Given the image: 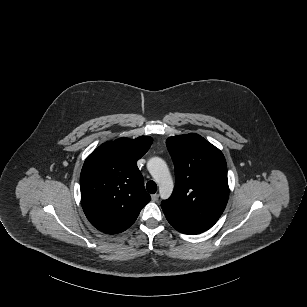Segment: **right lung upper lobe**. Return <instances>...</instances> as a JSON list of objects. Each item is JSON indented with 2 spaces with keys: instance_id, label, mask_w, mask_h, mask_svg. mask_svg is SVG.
Segmentation results:
<instances>
[{
  "instance_id": "right-lung-upper-lobe-1",
  "label": "right lung upper lobe",
  "mask_w": 307,
  "mask_h": 307,
  "mask_svg": "<svg viewBox=\"0 0 307 307\" xmlns=\"http://www.w3.org/2000/svg\"><path fill=\"white\" fill-rule=\"evenodd\" d=\"M153 139L120 138L91 153L80 175L81 203L91 224L107 234L129 228L151 200L137 167Z\"/></svg>"
}]
</instances>
